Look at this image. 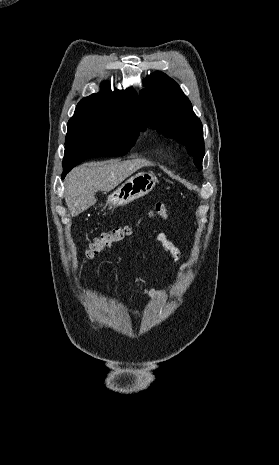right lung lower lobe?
Listing matches in <instances>:
<instances>
[{"instance_id":"obj_1","label":"right lung lower lobe","mask_w":279,"mask_h":465,"mask_svg":"<svg viewBox=\"0 0 279 465\" xmlns=\"http://www.w3.org/2000/svg\"><path fill=\"white\" fill-rule=\"evenodd\" d=\"M70 170H67V171H63V175H62V178L65 177V175L69 172Z\"/></svg>"}]
</instances>
